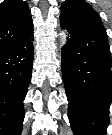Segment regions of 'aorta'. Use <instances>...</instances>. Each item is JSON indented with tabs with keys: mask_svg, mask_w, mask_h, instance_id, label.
<instances>
[{
	"mask_svg": "<svg viewBox=\"0 0 112 135\" xmlns=\"http://www.w3.org/2000/svg\"><path fill=\"white\" fill-rule=\"evenodd\" d=\"M60 36H61V41H62V43L64 44V43L66 42V38H67L66 32H65V31H62V32L60 33Z\"/></svg>",
	"mask_w": 112,
	"mask_h": 135,
	"instance_id": "aorta-1",
	"label": "aorta"
}]
</instances>
